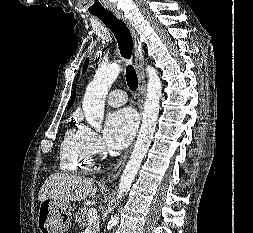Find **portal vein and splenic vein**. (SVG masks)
I'll use <instances>...</instances> for the list:
<instances>
[{
	"label": "portal vein and splenic vein",
	"instance_id": "1",
	"mask_svg": "<svg viewBox=\"0 0 253 233\" xmlns=\"http://www.w3.org/2000/svg\"><path fill=\"white\" fill-rule=\"evenodd\" d=\"M88 224H92L97 219V210L95 208H91L88 211Z\"/></svg>",
	"mask_w": 253,
	"mask_h": 233
}]
</instances>
